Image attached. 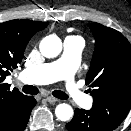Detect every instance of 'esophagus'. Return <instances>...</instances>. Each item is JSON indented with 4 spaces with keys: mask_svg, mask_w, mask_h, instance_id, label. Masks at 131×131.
I'll return each mask as SVG.
<instances>
[{
    "mask_svg": "<svg viewBox=\"0 0 131 131\" xmlns=\"http://www.w3.org/2000/svg\"><path fill=\"white\" fill-rule=\"evenodd\" d=\"M46 100L51 104L56 103L58 101V99L52 96H46Z\"/></svg>",
    "mask_w": 131,
    "mask_h": 131,
    "instance_id": "1",
    "label": "esophagus"
}]
</instances>
